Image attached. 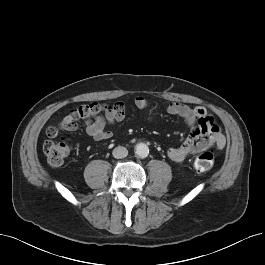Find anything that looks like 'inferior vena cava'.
<instances>
[{
  "instance_id": "602c4592",
  "label": "inferior vena cava",
  "mask_w": 265,
  "mask_h": 265,
  "mask_svg": "<svg viewBox=\"0 0 265 265\" xmlns=\"http://www.w3.org/2000/svg\"><path fill=\"white\" fill-rule=\"evenodd\" d=\"M112 154L115 158L121 159L128 155V150L123 146H118L114 148Z\"/></svg>"
}]
</instances>
